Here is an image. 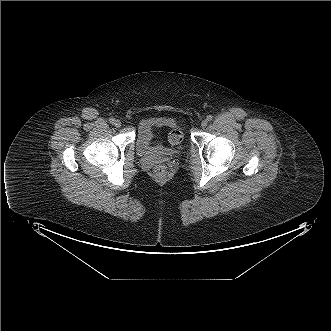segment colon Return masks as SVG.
<instances>
[{
    "label": "colon",
    "mask_w": 331,
    "mask_h": 331,
    "mask_svg": "<svg viewBox=\"0 0 331 331\" xmlns=\"http://www.w3.org/2000/svg\"><path fill=\"white\" fill-rule=\"evenodd\" d=\"M169 140L172 144H178L182 140V134L180 131H172L169 136ZM154 174L157 178L162 179L166 176V170L161 166H156Z\"/></svg>",
    "instance_id": "obj_1"
}]
</instances>
